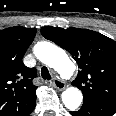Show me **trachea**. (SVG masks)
Segmentation results:
<instances>
[{
	"label": "trachea",
	"instance_id": "1",
	"mask_svg": "<svg viewBox=\"0 0 116 116\" xmlns=\"http://www.w3.org/2000/svg\"><path fill=\"white\" fill-rule=\"evenodd\" d=\"M41 76H42V78L44 80H50L51 79V75H50L49 70L47 69V67H42Z\"/></svg>",
	"mask_w": 116,
	"mask_h": 116
}]
</instances>
